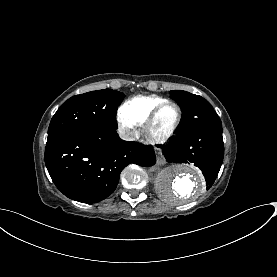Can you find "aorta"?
<instances>
[{"label":"aorta","instance_id":"obj_1","mask_svg":"<svg viewBox=\"0 0 277 277\" xmlns=\"http://www.w3.org/2000/svg\"><path fill=\"white\" fill-rule=\"evenodd\" d=\"M156 189L168 203L180 204L198 198L205 190L202 174L185 164L164 168L156 178Z\"/></svg>","mask_w":277,"mask_h":277}]
</instances>
